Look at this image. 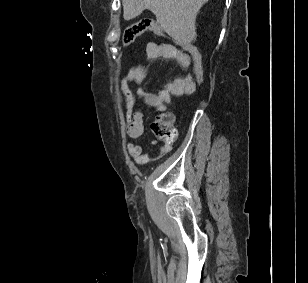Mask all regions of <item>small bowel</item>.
<instances>
[{
	"label": "small bowel",
	"instance_id": "c3829d8e",
	"mask_svg": "<svg viewBox=\"0 0 308 283\" xmlns=\"http://www.w3.org/2000/svg\"><path fill=\"white\" fill-rule=\"evenodd\" d=\"M148 57L165 58L176 61L180 66L188 70V73L162 86L158 93L147 92L138 87L135 91L130 88V84L140 86L147 75L143 66L131 68L121 79L120 89L125 97V116L127 120V135L131 139H139L144 132L143 113L138 108V101L142 100L156 111H163L166 105L171 102L172 96H181L190 91L193 77L190 71L191 58L181 50L169 44L149 43L146 46ZM153 145L157 142L153 141ZM172 141H165L156 151L147 153L144 151L142 143H128L127 150L133 161L139 165H146L155 162L172 150Z\"/></svg>",
	"mask_w": 308,
	"mask_h": 283
}]
</instances>
